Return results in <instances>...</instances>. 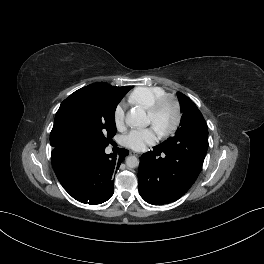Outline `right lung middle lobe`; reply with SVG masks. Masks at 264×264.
I'll return each mask as SVG.
<instances>
[{"label":"right lung middle lobe","mask_w":264,"mask_h":264,"mask_svg":"<svg viewBox=\"0 0 264 264\" xmlns=\"http://www.w3.org/2000/svg\"><path fill=\"white\" fill-rule=\"evenodd\" d=\"M131 88L94 83L72 93L56 113L50 135L53 150L106 148L116 134L115 109Z\"/></svg>","instance_id":"obj_1"}]
</instances>
